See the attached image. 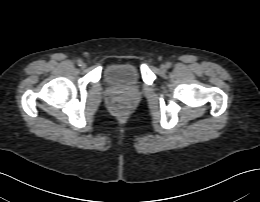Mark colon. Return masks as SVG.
Wrapping results in <instances>:
<instances>
[{"label":"colon","instance_id":"obj_1","mask_svg":"<svg viewBox=\"0 0 260 202\" xmlns=\"http://www.w3.org/2000/svg\"><path fill=\"white\" fill-rule=\"evenodd\" d=\"M115 110L119 115L124 116L128 112V106L123 102H118L115 105Z\"/></svg>","mask_w":260,"mask_h":202}]
</instances>
